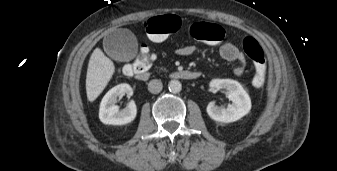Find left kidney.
I'll use <instances>...</instances> for the list:
<instances>
[{
	"mask_svg": "<svg viewBox=\"0 0 337 171\" xmlns=\"http://www.w3.org/2000/svg\"><path fill=\"white\" fill-rule=\"evenodd\" d=\"M213 90H225L228 99L232 102L225 107H219L214 102L207 106V113L215 121L230 123L241 119L251 110V99L242 85L232 79H214L210 82Z\"/></svg>",
	"mask_w": 337,
	"mask_h": 171,
	"instance_id": "left-kidney-1",
	"label": "left kidney"
}]
</instances>
